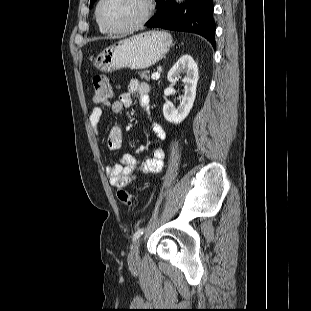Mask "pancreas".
<instances>
[{"label": "pancreas", "mask_w": 311, "mask_h": 311, "mask_svg": "<svg viewBox=\"0 0 311 311\" xmlns=\"http://www.w3.org/2000/svg\"><path fill=\"white\" fill-rule=\"evenodd\" d=\"M149 71H141L139 72V75L141 77V79H144L146 81H149L150 78L148 77Z\"/></svg>", "instance_id": "1"}]
</instances>
